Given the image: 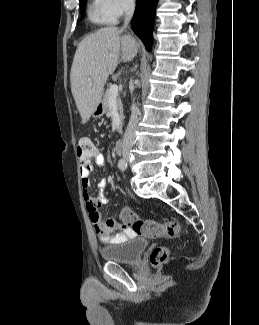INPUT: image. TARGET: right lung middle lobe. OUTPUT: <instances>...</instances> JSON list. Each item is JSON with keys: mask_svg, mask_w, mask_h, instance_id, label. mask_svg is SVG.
<instances>
[{"mask_svg": "<svg viewBox=\"0 0 259 325\" xmlns=\"http://www.w3.org/2000/svg\"><path fill=\"white\" fill-rule=\"evenodd\" d=\"M87 0H80L81 6H82V15H84V5H86Z\"/></svg>", "mask_w": 259, "mask_h": 325, "instance_id": "dd1d6c3e", "label": "right lung middle lobe"}]
</instances>
